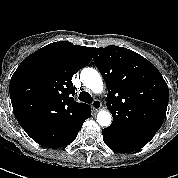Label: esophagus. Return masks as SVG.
Instances as JSON below:
<instances>
[{
  "label": "esophagus",
  "instance_id": "1",
  "mask_svg": "<svg viewBox=\"0 0 178 178\" xmlns=\"http://www.w3.org/2000/svg\"><path fill=\"white\" fill-rule=\"evenodd\" d=\"M91 108L94 112L98 111L101 108V102L95 99L93 103L91 104Z\"/></svg>",
  "mask_w": 178,
  "mask_h": 178
}]
</instances>
